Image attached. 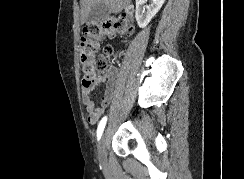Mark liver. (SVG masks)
Wrapping results in <instances>:
<instances>
[{
  "label": "liver",
  "instance_id": "1",
  "mask_svg": "<svg viewBox=\"0 0 244 179\" xmlns=\"http://www.w3.org/2000/svg\"><path fill=\"white\" fill-rule=\"evenodd\" d=\"M81 2V22H86L88 16L97 2H105L107 8L110 10V14H119L124 10L127 4H130L131 0H80Z\"/></svg>",
  "mask_w": 244,
  "mask_h": 179
}]
</instances>
